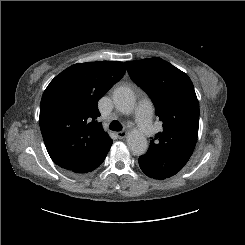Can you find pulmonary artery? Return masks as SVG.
<instances>
[{
    "label": "pulmonary artery",
    "mask_w": 245,
    "mask_h": 245,
    "mask_svg": "<svg viewBox=\"0 0 245 245\" xmlns=\"http://www.w3.org/2000/svg\"><path fill=\"white\" fill-rule=\"evenodd\" d=\"M154 107L149 99L141 101L135 109V119L138 129L145 137L155 135V124L153 122Z\"/></svg>",
    "instance_id": "obj_1"
}]
</instances>
